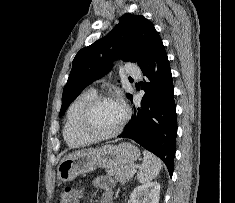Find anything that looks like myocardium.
<instances>
[{"label":"myocardium","mask_w":235,"mask_h":203,"mask_svg":"<svg viewBox=\"0 0 235 203\" xmlns=\"http://www.w3.org/2000/svg\"><path fill=\"white\" fill-rule=\"evenodd\" d=\"M104 101L119 102L121 106L123 107L124 115L119 125L114 130L108 133H98L90 127V118L95 107L99 103L104 102ZM129 118H130V110L123 101L111 95L100 94L90 99L83 107L79 116V120H78V130L82 135L90 138L93 141L106 140V139H110V138L117 136L123 130Z\"/></svg>","instance_id":"obj_1"}]
</instances>
